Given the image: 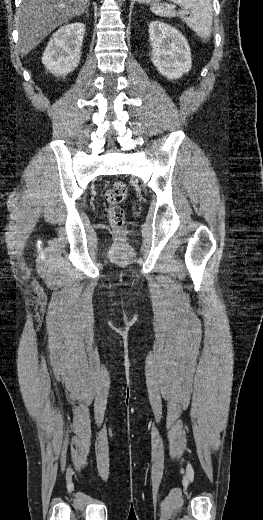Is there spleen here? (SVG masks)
<instances>
[{"mask_svg": "<svg viewBox=\"0 0 263 520\" xmlns=\"http://www.w3.org/2000/svg\"><path fill=\"white\" fill-rule=\"evenodd\" d=\"M181 7L177 12L167 5H153L151 11L161 17L180 16L198 37L206 41L213 29V9L211 0H170ZM190 12V16H185Z\"/></svg>", "mask_w": 263, "mask_h": 520, "instance_id": "spleen-1", "label": "spleen"}]
</instances>
